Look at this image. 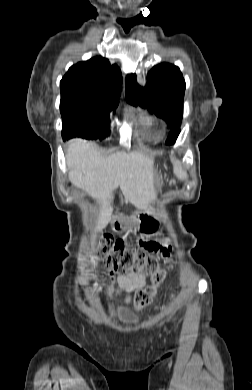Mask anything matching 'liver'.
Returning <instances> with one entry per match:
<instances>
[{
	"instance_id": "obj_1",
	"label": "liver",
	"mask_w": 252,
	"mask_h": 390,
	"mask_svg": "<svg viewBox=\"0 0 252 390\" xmlns=\"http://www.w3.org/2000/svg\"><path fill=\"white\" fill-rule=\"evenodd\" d=\"M66 159L72 185L102 204L99 229L112 215V191L116 188L120 187L125 198L135 203L145 202L153 194L152 161L139 151L105 157L95 143L77 139L68 144Z\"/></svg>"
}]
</instances>
